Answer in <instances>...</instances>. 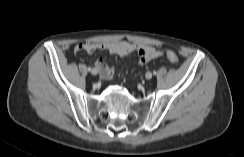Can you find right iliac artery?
<instances>
[{
  "mask_svg": "<svg viewBox=\"0 0 244 157\" xmlns=\"http://www.w3.org/2000/svg\"><path fill=\"white\" fill-rule=\"evenodd\" d=\"M93 69L91 67H88V71H92Z\"/></svg>",
  "mask_w": 244,
  "mask_h": 157,
  "instance_id": "1",
  "label": "right iliac artery"
}]
</instances>
